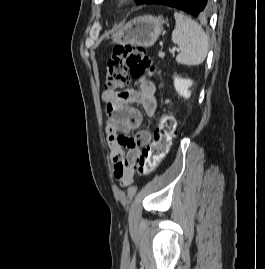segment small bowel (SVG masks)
Returning a JSON list of instances; mask_svg holds the SVG:
<instances>
[{
  "label": "small bowel",
  "instance_id": "obj_1",
  "mask_svg": "<svg viewBox=\"0 0 265 269\" xmlns=\"http://www.w3.org/2000/svg\"><path fill=\"white\" fill-rule=\"evenodd\" d=\"M106 103V133L113 164L114 177L127 186L133 179V166L143 146L150 141V132L142 130L136 137L130 133L143 121L141 111L131 107L137 104L152 116L157 109L156 86L153 81L140 78L137 89L116 92L105 89L101 94Z\"/></svg>",
  "mask_w": 265,
  "mask_h": 269
}]
</instances>
